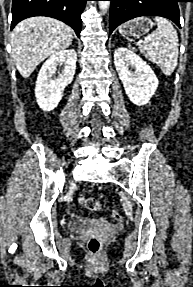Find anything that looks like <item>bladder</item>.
<instances>
[{
    "mask_svg": "<svg viewBox=\"0 0 193 287\" xmlns=\"http://www.w3.org/2000/svg\"><path fill=\"white\" fill-rule=\"evenodd\" d=\"M84 224L85 222L82 219L75 217L69 221L67 227L71 231H76L79 230Z\"/></svg>",
    "mask_w": 193,
    "mask_h": 287,
    "instance_id": "31cf9c89",
    "label": "bladder"
}]
</instances>
